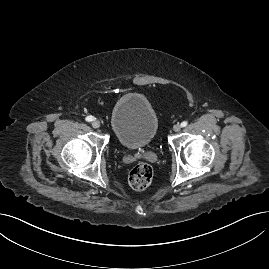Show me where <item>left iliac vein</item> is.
<instances>
[{"instance_id":"obj_1","label":"left iliac vein","mask_w":269,"mask_h":269,"mask_svg":"<svg viewBox=\"0 0 269 269\" xmlns=\"http://www.w3.org/2000/svg\"><path fill=\"white\" fill-rule=\"evenodd\" d=\"M180 129H181V126H180L179 124H175V125L173 126V131H174V132H179Z\"/></svg>"}]
</instances>
